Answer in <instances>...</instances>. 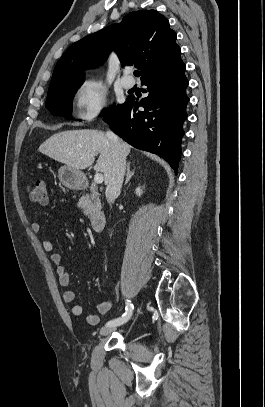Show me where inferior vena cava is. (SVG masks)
Instances as JSON below:
<instances>
[{"mask_svg": "<svg viewBox=\"0 0 265 407\" xmlns=\"http://www.w3.org/2000/svg\"><path fill=\"white\" fill-rule=\"evenodd\" d=\"M106 136L110 142L113 162L105 194L108 203L112 204L121 191L126 168V156L123 153L118 137L112 131H107Z\"/></svg>", "mask_w": 265, "mask_h": 407, "instance_id": "obj_1", "label": "inferior vena cava"}]
</instances>
